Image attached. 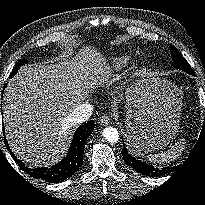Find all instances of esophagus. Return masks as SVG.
<instances>
[{
  "mask_svg": "<svg viewBox=\"0 0 205 205\" xmlns=\"http://www.w3.org/2000/svg\"><path fill=\"white\" fill-rule=\"evenodd\" d=\"M100 125L107 126L110 123L109 116H102L99 120Z\"/></svg>",
  "mask_w": 205,
  "mask_h": 205,
  "instance_id": "34e87169",
  "label": "esophagus"
}]
</instances>
